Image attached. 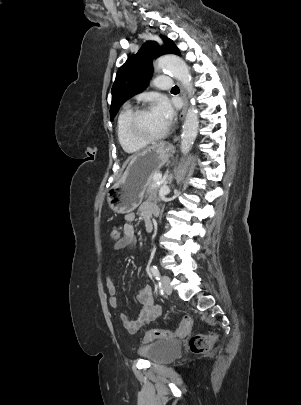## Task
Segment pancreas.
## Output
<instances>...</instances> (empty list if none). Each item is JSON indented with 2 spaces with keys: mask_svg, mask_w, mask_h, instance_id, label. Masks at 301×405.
I'll use <instances>...</instances> for the list:
<instances>
[{
  "mask_svg": "<svg viewBox=\"0 0 301 405\" xmlns=\"http://www.w3.org/2000/svg\"><path fill=\"white\" fill-rule=\"evenodd\" d=\"M156 174L157 173H155L152 177V182L149 185V187L147 188L146 195L148 197V200L154 201V202H160V198L158 197V189L160 186H156L155 185L156 181L154 180V176Z\"/></svg>",
  "mask_w": 301,
  "mask_h": 405,
  "instance_id": "pancreas-1",
  "label": "pancreas"
}]
</instances>
